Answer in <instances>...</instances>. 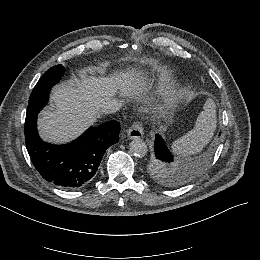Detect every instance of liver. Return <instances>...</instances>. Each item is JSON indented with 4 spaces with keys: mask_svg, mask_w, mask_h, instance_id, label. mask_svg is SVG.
<instances>
[{
    "mask_svg": "<svg viewBox=\"0 0 260 260\" xmlns=\"http://www.w3.org/2000/svg\"><path fill=\"white\" fill-rule=\"evenodd\" d=\"M78 75L79 78L72 77L55 85L50 95L51 106L40 112L38 130L44 141L59 144L75 139L94 125L103 113L102 104L112 99L118 90L131 97L141 86L129 72L96 77L91 69H82ZM161 82L159 91H164L168 103L167 96L175 92L167 90L169 87L163 79Z\"/></svg>",
    "mask_w": 260,
    "mask_h": 260,
    "instance_id": "1",
    "label": "liver"
}]
</instances>
